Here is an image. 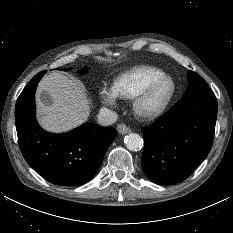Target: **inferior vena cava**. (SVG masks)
<instances>
[{"mask_svg":"<svg viewBox=\"0 0 233 233\" xmlns=\"http://www.w3.org/2000/svg\"><path fill=\"white\" fill-rule=\"evenodd\" d=\"M117 118L118 115L114 111L105 107L101 108L98 114V122L103 126L115 123Z\"/></svg>","mask_w":233,"mask_h":233,"instance_id":"1","label":"inferior vena cava"}]
</instances>
